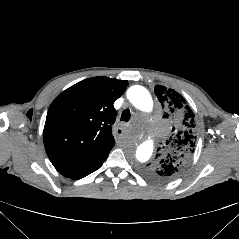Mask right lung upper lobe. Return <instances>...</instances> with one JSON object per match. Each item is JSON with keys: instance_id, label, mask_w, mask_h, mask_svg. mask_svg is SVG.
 Instances as JSON below:
<instances>
[{"instance_id": "cb5924a9", "label": "right lung upper lobe", "mask_w": 239, "mask_h": 239, "mask_svg": "<svg viewBox=\"0 0 239 239\" xmlns=\"http://www.w3.org/2000/svg\"><path fill=\"white\" fill-rule=\"evenodd\" d=\"M128 81L92 77L59 94L49 107L43 131L46 153L58 172L71 177L114 146L113 103Z\"/></svg>"}]
</instances>
